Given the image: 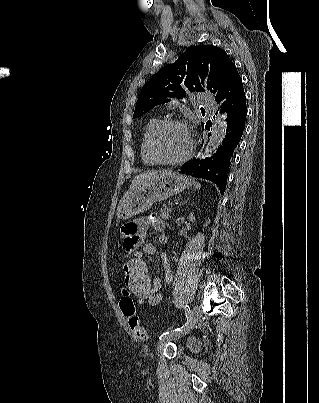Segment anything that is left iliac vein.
Here are the masks:
<instances>
[{
  "instance_id": "obj_1",
  "label": "left iliac vein",
  "mask_w": 319,
  "mask_h": 403,
  "mask_svg": "<svg viewBox=\"0 0 319 403\" xmlns=\"http://www.w3.org/2000/svg\"><path fill=\"white\" fill-rule=\"evenodd\" d=\"M200 314V307L198 305H195L192 309L191 316L186 322L185 326L180 331L174 332L172 335L161 338L157 344V351L161 352L168 342L179 339L186 335L198 322Z\"/></svg>"
}]
</instances>
